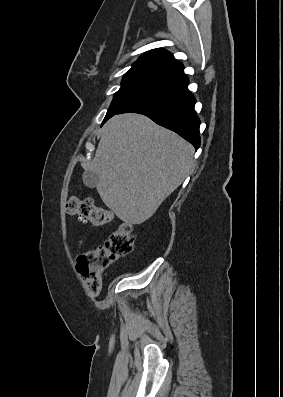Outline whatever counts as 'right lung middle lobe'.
I'll list each match as a JSON object with an SVG mask.
<instances>
[{"label": "right lung middle lobe", "instance_id": "obj_1", "mask_svg": "<svg viewBox=\"0 0 283 397\" xmlns=\"http://www.w3.org/2000/svg\"><path fill=\"white\" fill-rule=\"evenodd\" d=\"M167 86L169 84L166 81L152 79L142 73L125 74L121 88L115 93L102 125L125 107Z\"/></svg>", "mask_w": 283, "mask_h": 397}]
</instances>
